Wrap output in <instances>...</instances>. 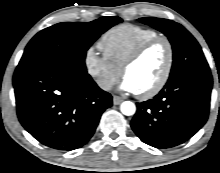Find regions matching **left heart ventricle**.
I'll return each mask as SVG.
<instances>
[{
  "instance_id": "1",
  "label": "left heart ventricle",
  "mask_w": 220,
  "mask_h": 173,
  "mask_svg": "<svg viewBox=\"0 0 220 173\" xmlns=\"http://www.w3.org/2000/svg\"><path fill=\"white\" fill-rule=\"evenodd\" d=\"M168 57L167 47L158 43L152 47L125 74L135 86L137 93L149 90L162 76Z\"/></svg>"
}]
</instances>
